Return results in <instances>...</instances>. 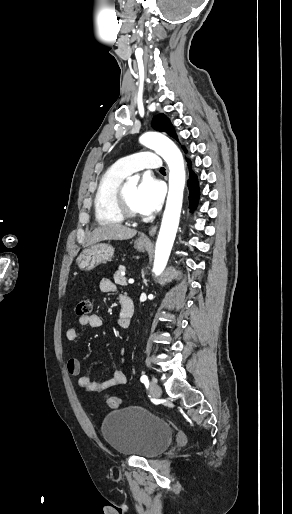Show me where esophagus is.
Masks as SVG:
<instances>
[{
	"label": "esophagus",
	"mask_w": 292,
	"mask_h": 514,
	"mask_svg": "<svg viewBox=\"0 0 292 514\" xmlns=\"http://www.w3.org/2000/svg\"><path fill=\"white\" fill-rule=\"evenodd\" d=\"M156 230H157V226L151 227V229L149 230L148 236H143L142 240L149 241V238L155 235Z\"/></svg>",
	"instance_id": "34e87169"
}]
</instances>
